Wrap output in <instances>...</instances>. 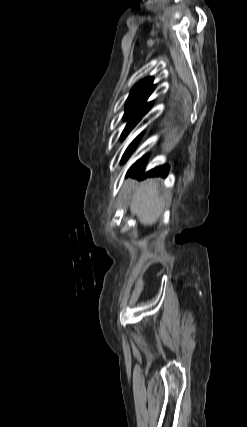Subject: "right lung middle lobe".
I'll list each match as a JSON object with an SVG mask.
<instances>
[{
  "mask_svg": "<svg viewBox=\"0 0 247 427\" xmlns=\"http://www.w3.org/2000/svg\"><path fill=\"white\" fill-rule=\"evenodd\" d=\"M144 114H125V119H129L128 124L126 125L122 138H125L130 130L141 120Z\"/></svg>",
  "mask_w": 247,
  "mask_h": 427,
  "instance_id": "right-lung-middle-lobe-1",
  "label": "right lung middle lobe"
}]
</instances>
